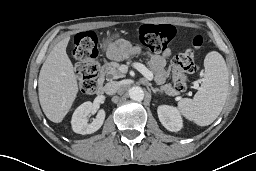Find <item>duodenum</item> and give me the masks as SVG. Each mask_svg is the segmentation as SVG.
I'll return each instance as SVG.
<instances>
[{"label":"duodenum","instance_id":"obj_1","mask_svg":"<svg viewBox=\"0 0 256 171\" xmlns=\"http://www.w3.org/2000/svg\"><path fill=\"white\" fill-rule=\"evenodd\" d=\"M104 65H105V63L102 65L99 80H98V83L96 86V92L98 95H101L104 92V80H105V73H104L105 70L103 68Z\"/></svg>","mask_w":256,"mask_h":171}]
</instances>
